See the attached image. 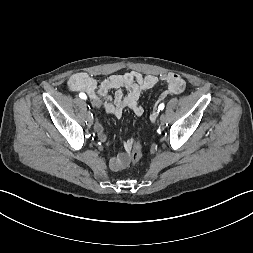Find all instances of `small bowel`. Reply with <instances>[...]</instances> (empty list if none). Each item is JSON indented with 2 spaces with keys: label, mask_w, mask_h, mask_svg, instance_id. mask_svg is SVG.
I'll use <instances>...</instances> for the list:
<instances>
[{
  "label": "small bowel",
  "mask_w": 253,
  "mask_h": 253,
  "mask_svg": "<svg viewBox=\"0 0 253 253\" xmlns=\"http://www.w3.org/2000/svg\"><path fill=\"white\" fill-rule=\"evenodd\" d=\"M158 83H164L167 86L159 100L168 94H181L186 87L184 79L176 73L155 76L137 71L113 74L102 82H98L86 72H77L69 77L67 86L73 92H85L94 107L102 108L108 114L119 118L125 109H130L136 116H142L144 109L139 104L140 97ZM123 89L126 90V93L123 92ZM111 90H115L112 96L109 94ZM157 116V108H154L150 114V120L155 122ZM96 132L102 142L111 145L112 141L101 124L96 125ZM133 143L132 138L126 139L124 142L125 153H121L110 160V168L113 171L122 170L127 166L128 153Z\"/></svg>",
  "instance_id": "small-bowel-1"
}]
</instances>
